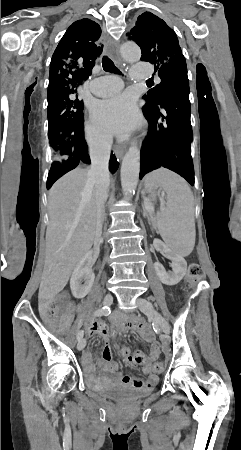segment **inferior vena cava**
I'll use <instances>...</instances> for the list:
<instances>
[{
  "instance_id": "1",
  "label": "inferior vena cava",
  "mask_w": 241,
  "mask_h": 450,
  "mask_svg": "<svg viewBox=\"0 0 241 450\" xmlns=\"http://www.w3.org/2000/svg\"><path fill=\"white\" fill-rule=\"evenodd\" d=\"M112 136L103 138L96 148L90 152L91 166L88 170L85 190L95 188L96 196V232L95 240L98 242L102 236V228L105 216L104 204L108 198V188L110 186L109 160L112 144Z\"/></svg>"
}]
</instances>
